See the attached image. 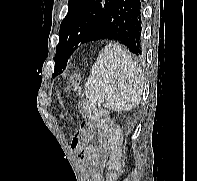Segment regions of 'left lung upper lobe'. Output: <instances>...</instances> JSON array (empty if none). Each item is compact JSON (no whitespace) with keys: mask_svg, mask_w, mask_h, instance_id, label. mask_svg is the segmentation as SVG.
Returning <instances> with one entry per match:
<instances>
[{"mask_svg":"<svg viewBox=\"0 0 197 181\" xmlns=\"http://www.w3.org/2000/svg\"><path fill=\"white\" fill-rule=\"evenodd\" d=\"M114 0H69L68 13L59 30L53 77L61 74L71 54L82 44L92 40L101 19Z\"/></svg>","mask_w":197,"mask_h":181,"instance_id":"1","label":"left lung upper lobe"}]
</instances>
